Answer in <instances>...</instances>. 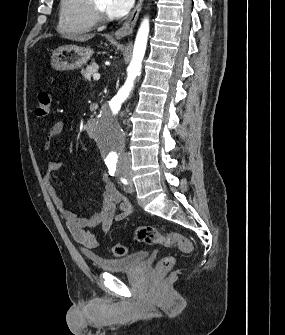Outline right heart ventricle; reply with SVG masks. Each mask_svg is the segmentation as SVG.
<instances>
[{
    "label": "right heart ventricle",
    "instance_id": "e07e8e85",
    "mask_svg": "<svg viewBox=\"0 0 285 335\" xmlns=\"http://www.w3.org/2000/svg\"><path fill=\"white\" fill-rule=\"evenodd\" d=\"M96 25L95 1H62L58 32L69 38H80Z\"/></svg>",
    "mask_w": 285,
    "mask_h": 335
}]
</instances>
